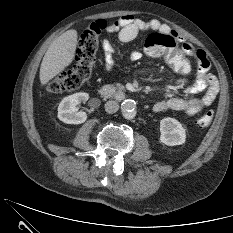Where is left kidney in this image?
Segmentation results:
<instances>
[{
	"mask_svg": "<svg viewBox=\"0 0 233 233\" xmlns=\"http://www.w3.org/2000/svg\"><path fill=\"white\" fill-rule=\"evenodd\" d=\"M160 142L167 146L185 143L186 129L174 118H164L160 121Z\"/></svg>",
	"mask_w": 233,
	"mask_h": 233,
	"instance_id": "left-kidney-1",
	"label": "left kidney"
}]
</instances>
